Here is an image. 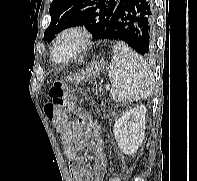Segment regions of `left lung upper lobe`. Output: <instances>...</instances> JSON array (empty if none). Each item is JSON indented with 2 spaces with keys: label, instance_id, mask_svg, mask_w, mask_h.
Here are the masks:
<instances>
[{
  "label": "left lung upper lobe",
  "instance_id": "left-lung-upper-lobe-1",
  "mask_svg": "<svg viewBox=\"0 0 197 181\" xmlns=\"http://www.w3.org/2000/svg\"><path fill=\"white\" fill-rule=\"evenodd\" d=\"M120 0H54L49 12L51 23L44 39L52 40L55 34L72 26H83L100 39Z\"/></svg>",
  "mask_w": 197,
  "mask_h": 181
}]
</instances>
